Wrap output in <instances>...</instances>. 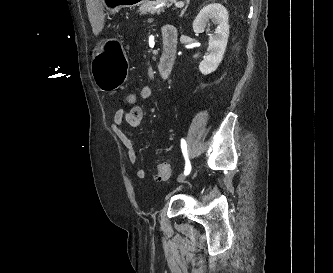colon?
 <instances>
[{
    "mask_svg": "<svg viewBox=\"0 0 333 273\" xmlns=\"http://www.w3.org/2000/svg\"><path fill=\"white\" fill-rule=\"evenodd\" d=\"M122 102L125 106L134 107L137 104V95L134 92H128L123 96ZM171 174L170 165L167 162L158 164L156 168V180L165 181Z\"/></svg>",
    "mask_w": 333,
    "mask_h": 273,
    "instance_id": "colon-1",
    "label": "colon"
}]
</instances>
